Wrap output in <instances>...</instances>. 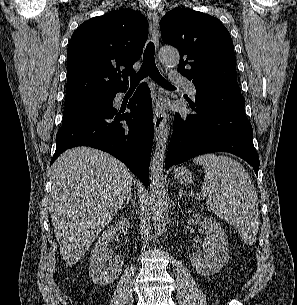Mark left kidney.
<instances>
[{
	"label": "left kidney",
	"mask_w": 297,
	"mask_h": 305,
	"mask_svg": "<svg viewBox=\"0 0 297 305\" xmlns=\"http://www.w3.org/2000/svg\"><path fill=\"white\" fill-rule=\"evenodd\" d=\"M201 219L200 214H193L187 220L189 225L197 224ZM207 234L204 238L203 248L206 255L197 251L189 255L192 266L204 276L219 272L229 259V244L227 235L221 225L213 218L206 217L202 223Z\"/></svg>",
	"instance_id": "1"
}]
</instances>
